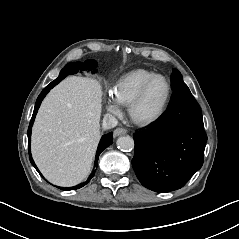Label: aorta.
Masks as SVG:
<instances>
[{
	"mask_svg": "<svg viewBox=\"0 0 239 239\" xmlns=\"http://www.w3.org/2000/svg\"><path fill=\"white\" fill-rule=\"evenodd\" d=\"M117 146L120 150L131 151L134 149V140L130 136H122L117 140Z\"/></svg>",
	"mask_w": 239,
	"mask_h": 239,
	"instance_id": "1",
	"label": "aorta"
}]
</instances>
